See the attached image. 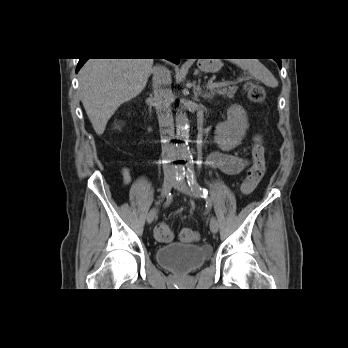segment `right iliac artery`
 Returning a JSON list of instances; mask_svg holds the SVG:
<instances>
[{"label": "right iliac artery", "instance_id": "right-iliac-artery-1", "mask_svg": "<svg viewBox=\"0 0 348 348\" xmlns=\"http://www.w3.org/2000/svg\"><path fill=\"white\" fill-rule=\"evenodd\" d=\"M185 177V168H180L176 173V181L181 182Z\"/></svg>", "mask_w": 348, "mask_h": 348}]
</instances>
